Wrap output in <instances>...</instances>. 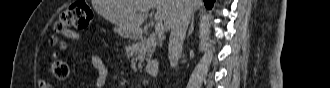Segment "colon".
I'll list each match as a JSON object with an SVG mask.
<instances>
[{
  "instance_id": "colon-1",
  "label": "colon",
  "mask_w": 330,
  "mask_h": 88,
  "mask_svg": "<svg viewBox=\"0 0 330 88\" xmlns=\"http://www.w3.org/2000/svg\"><path fill=\"white\" fill-rule=\"evenodd\" d=\"M92 19V9L84 0L73 2L62 12L55 25V35L50 39V43L54 49L50 53L51 63L48 71L52 78L58 81H65L70 74L68 63L59 57L60 51L66 48V43L60 36L72 28H88Z\"/></svg>"
}]
</instances>
